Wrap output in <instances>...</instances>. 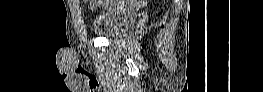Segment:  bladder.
<instances>
[{"instance_id": "1", "label": "bladder", "mask_w": 263, "mask_h": 92, "mask_svg": "<svg viewBox=\"0 0 263 92\" xmlns=\"http://www.w3.org/2000/svg\"><path fill=\"white\" fill-rule=\"evenodd\" d=\"M136 19V12L122 7L104 11L94 25V32L106 38H115L128 30Z\"/></svg>"}]
</instances>
